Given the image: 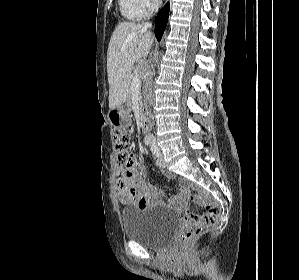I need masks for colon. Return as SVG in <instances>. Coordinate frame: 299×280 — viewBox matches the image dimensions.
I'll use <instances>...</instances> for the list:
<instances>
[{
    "label": "colon",
    "instance_id": "5ec220e1",
    "mask_svg": "<svg viewBox=\"0 0 299 280\" xmlns=\"http://www.w3.org/2000/svg\"><path fill=\"white\" fill-rule=\"evenodd\" d=\"M113 138L118 167L126 168L132 162V155L128 150L129 134L123 129H115ZM192 199L197 204L204 206L207 209V212L200 216L193 214L185 215L181 232V242L183 245L189 243L205 227L215 223L219 217V209L211 199L203 195H195Z\"/></svg>",
    "mask_w": 299,
    "mask_h": 280
}]
</instances>
